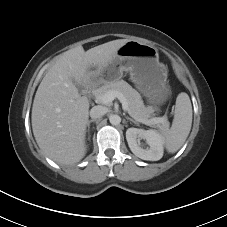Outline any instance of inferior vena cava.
Here are the masks:
<instances>
[{
	"label": "inferior vena cava",
	"mask_w": 227,
	"mask_h": 227,
	"mask_svg": "<svg viewBox=\"0 0 227 227\" xmlns=\"http://www.w3.org/2000/svg\"><path fill=\"white\" fill-rule=\"evenodd\" d=\"M107 110L105 107L97 105L94 106L91 110H90V117L92 119H98L101 118L102 116H104L106 114Z\"/></svg>",
	"instance_id": "1"
}]
</instances>
